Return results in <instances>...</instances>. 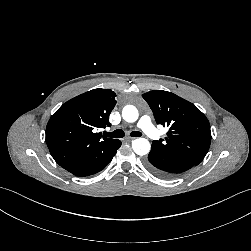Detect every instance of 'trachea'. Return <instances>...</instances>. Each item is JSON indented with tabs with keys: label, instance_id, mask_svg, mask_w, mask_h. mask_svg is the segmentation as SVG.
Masks as SVG:
<instances>
[{
	"label": "trachea",
	"instance_id": "3493384b",
	"mask_svg": "<svg viewBox=\"0 0 251 251\" xmlns=\"http://www.w3.org/2000/svg\"><path fill=\"white\" fill-rule=\"evenodd\" d=\"M105 136L106 137H112V138H122V137L125 136V133H124L123 130L117 129V130H115V131H113L111 133H107L106 132ZM130 136H132V137H140V136H142V133L139 132V131H133V132L130 133Z\"/></svg>",
	"mask_w": 251,
	"mask_h": 251
}]
</instances>
